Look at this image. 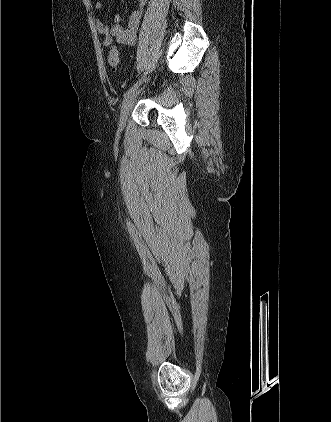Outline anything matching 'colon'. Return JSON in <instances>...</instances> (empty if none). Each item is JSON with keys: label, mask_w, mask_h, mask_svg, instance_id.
<instances>
[{"label": "colon", "mask_w": 331, "mask_h": 422, "mask_svg": "<svg viewBox=\"0 0 331 422\" xmlns=\"http://www.w3.org/2000/svg\"><path fill=\"white\" fill-rule=\"evenodd\" d=\"M108 66L112 71L117 70L119 65V56L117 52H110L107 57Z\"/></svg>", "instance_id": "colon-1"}]
</instances>
